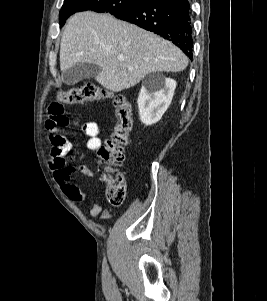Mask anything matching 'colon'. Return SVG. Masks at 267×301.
Returning a JSON list of instances; mask_svg holds the SVG:
<instances>
[{
  "label": "colon",
  "instance_id": "colon-1",
  "mask_svg": "<svg viewBox=\"0 0 267 301\" xmlns=\"http://www.w3.org/2000/svg\"><path fill=\"white\" fill-rule=\"evenodd\" d=\"M56 98L67 104L107 99L112 101L117 123L110 138L98 149V159L99 162L109 165L102 174V180L106 184L107 200L113 206L121 205L126 195V181L123 173L115 166L124 162V147L132 127V110L129 101L122 94L110 92L91 83L69 90H59Z\"/></svg>",
  "mask_w": 267,
  "mask_h": 301
}]
</instances>
